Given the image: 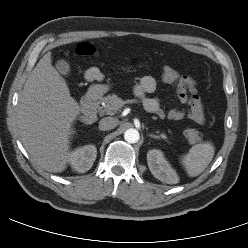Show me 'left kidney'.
I'll return each instance as SVG.
<instances>
[{
    "label": "left kidney",
    "mask_w": 248,
    "mask_h": 248,
    "mask_svg": "<svg viewBox=\"0 0 248 248\" xmlns=\"http://www.w3.org/2000/svg\"><path fill=\"white\" fill-rule=\"evenodd\" d=\"M147 163L153 176L161 182L167 184H176L179 182L177 173L166 161L160 150H149L147 153Z\"/></svg>",
    "instance_id": "obj_1"
}]
</instances>
